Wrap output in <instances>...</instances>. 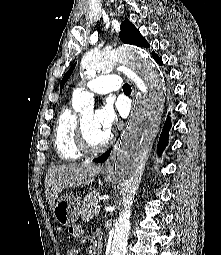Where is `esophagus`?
<instances>
[{
    "instance_id": "1",
    "label": "esophagus",
    "mask_w": 221,
    "mask_h": 255,
    "mask_svg": "<svg viewBox=\"0 0 221 255\" xmlns=\"http://www.w3.org/2000/svg\"><path fill=\"white\" fill-rule=\"evenodd\" d=\"M135 95V91H133V96ZM117 148L118 145L116 144L111 152L110 157L108 158V160L105 162L104 166H103V171L105 172H113L114 170V163L116 160V153H117Z\"/></svg>"
}]
</instances>
